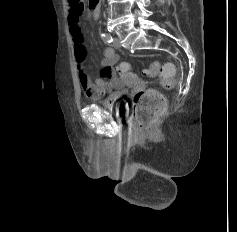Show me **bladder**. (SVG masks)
I'll return each mask as SVG.
<instances>
[{"mask_svg": "<svg viewBox=\"0 0 237 232\" xmlns=\"http://www.w3.org/2000/svg\"><path fill=\"white\" fill-rule=\"evenodd\" d=\"M127 92L123 89L120 93V99L112 103H104L107 109H111L116 117L124 118L128 112V101L124 98Z\"/></svg>", "mask_w": 237, "mask_h": 232, "instance_id": "obj_1", "label": "bladder"}]
</instances>
